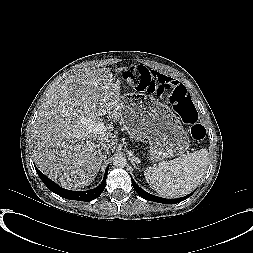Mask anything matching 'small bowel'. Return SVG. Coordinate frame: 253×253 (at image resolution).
Wrapping results in <instances>:
<instances>
[{"instance_id":"small-bowel-1","label":"small bowel","mask_w":253,"mask_h":253,"mask_svg":"<svg viewBox=\"0 0 253 253\" xmlns=\"http://www.w3.org/2000/svg\"><path fill=\"white\" fill-rule=\"evenodd\" d=\"M175 83L177 82L164 74L149 72L147 79L138 78L133 82V86L141 91L159 92L161 87H170Z\"/></svg>"}]
</instances>
